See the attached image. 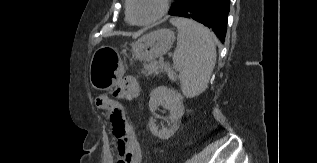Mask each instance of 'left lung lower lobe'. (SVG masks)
I'll list each match as a JSON object with an SVG mask.
<instances>
[{
	"instance_id": "obj_1",
	"label": "left lung lower lobe",
	"mask_w": 317,
	"mask_h": 163,
	"mask_svg": "<svg viewBox=\"0 0 317 163\" xmlns=\"http://www.w3.org/2000/svg\"><path fill=\"white\" fill-rule=\"evenodd\" d=\"M229 4L230 0H180L169 14L196 20L211 28L224 43Z\"/></svg>"
}]
</instances>
